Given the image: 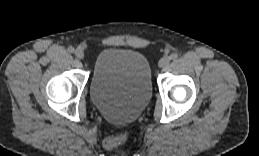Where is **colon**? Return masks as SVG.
Returning a JSON list of instances; mask_svg holds the SVG:
<instances>
[{"mask_svg":"<svg viewBox=\"0 0 259 156\" xmlns=\"http://www.w3.org/2000/svg\"><path fill=\"white\" fill-rule=\"evenodd\" d=\"M128 140V133L125 131L122 134L118 136H111L105 139L104 145L108 149H115L124 143H126Z\"/></svg>","mask_w":259,"mask_h":156,"instance_id":"5ec220e1","label":"colon"}]
</instances>
